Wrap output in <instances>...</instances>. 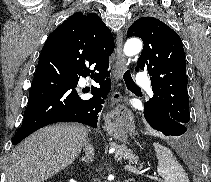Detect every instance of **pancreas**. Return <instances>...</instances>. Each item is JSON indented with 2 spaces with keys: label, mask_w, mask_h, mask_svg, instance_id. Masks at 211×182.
<instances>
[{
  "label": "pancreas",
  "mask_w": 211,
  "mask_h": 182,
  "mask_svg": "<svg viewBox=\"0 0 211 182\" xmlns=\"http://www.w3.org/2000/svg\"><path fill=\"white\" fill-rule=\"evenodd\" d=\"M116 149L114 152V158L117 161L122 159L128 160L129 164H134L138 161V157H135L130 149L125 145H113Z\"/></svg>",
  "instance_id": "1"
}]
</instances>
